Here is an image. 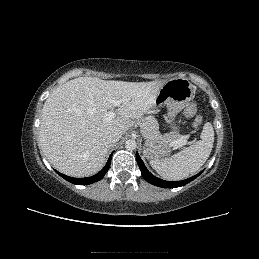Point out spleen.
I'll return each mask as SVG.
<instances>
[{
    "mask_svg": "<svg viewBox=\"0 0 259 259\" xmlns=\"http://www.w3.org/2000/svg\"><path fill=\"white\" fill-rule=\"evenodd\" d=\"M201 140L174 154L170 158L151 160V167L166 180H182L198 171L209 158L214 142V129L205 123Z\"/></svg>",
    "mask_w": 259,
    "mask_h": 259,
    "instance_id": "spleen-1",
    "label": "spleen"
}]
</instances>
